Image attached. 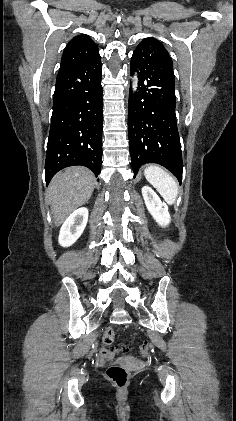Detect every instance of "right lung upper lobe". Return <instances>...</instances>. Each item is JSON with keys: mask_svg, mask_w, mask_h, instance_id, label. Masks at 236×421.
Masks as SVG:
<instances>
[{"mask_svg": "<svg viewBox=\"0 0 236 421\" xmlns=\"http://www.w3.org/2000/svg\"><path fill=\"white\" fill-rule=\"evenodd\" d=\"M98 56V48L91 38L86 35L76 36L67 44L59 70L92 60Z\"/></svg>", "mask_w": 236, "mask_h": 421, "instance_id": "right-lung-upper-lobe-1", "label": "right lung upper lobe"}]
</instances>
